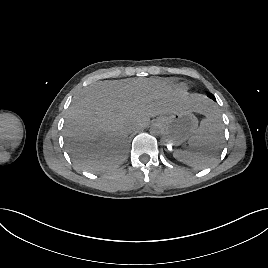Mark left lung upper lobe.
<instances>
[{"label": "left lung upper lobe", "instance_id": "5c2ea615", "mask_svg": "<svg viewBox=\"0 0 268 268\" xmlns=\"http://www.w3.org/2000/svg\"><path fill=\"white\" fill-rule=\"evenodd\" d=\"M207 96H208L209 98H211V99H215L214 95L211 94V93H207Z\"/></svg>", "mask_w": 268, "mask_h": 268}]
</instances>
